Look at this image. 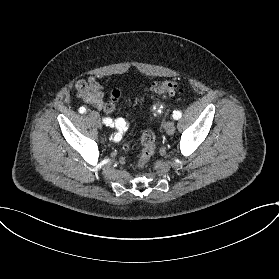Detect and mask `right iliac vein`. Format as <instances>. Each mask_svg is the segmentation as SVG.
I'll list each match as a JSON object with an SVG mask.
<instances>
[{
  "label": "right iliac vein",
  "mask_w": 279,
  "mask_h": 279,
  "mask_svg": "<svg viewBox=\"0 0 279 279\" xmlns=\"http://www.w3.org/2000/svg\"><path fill=\"white\" fill-rule=\"evenodd\" d=\"M89 116H90L91 118H93V119L97 122L98 127L101 128V123H100V118H99L98 112H96V111H91V112L89 113Z\"/></svg>",
  "instance_id": "63e3f726"
}]
</instances>
